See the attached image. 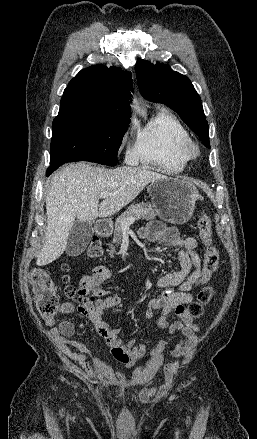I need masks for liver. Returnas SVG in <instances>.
Masks as SVG:
<instances>
[{
	"mask_svg": "<svg viewBox=\"0 0 257 439\" xmlns=\"http://www.w3.org/2000/svg\"><path fill=\"white\" fill-rule=\"evenodd\" d=\"M165 177L140 167L107 169L86 162L63 167L53 177L47 193V231L37 265H47L63 254L76 218L91 222L111 216L132 202L149 183ZM103 191L110 195L99 204Z\"/></svg>",
	"mask_w": 257,
	"mask_h": 439,
	"instance_id": "1",
	"label": "liver"
}]
</instances>
